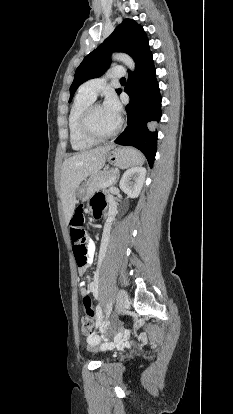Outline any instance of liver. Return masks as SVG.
Segmentation results:
<instances>
[{"mask_svg": "<svg viewBox=\"0 0 233 414\" xmlns=\"http://www.w3.org/2000/svg\"><path fill=\"white\" fill-rule=\"evenodd\" d=\"M113 147V145H106L76 153L63 162L60 182L61 202L67 222L73 215L76 191L80 183L89 175L100 171L105 164L106 153Z\"/></svg>", "mask_w": 233, "mask_h": 414, "instance_id": "liver-1", "label": "liver"}]
</instances>
